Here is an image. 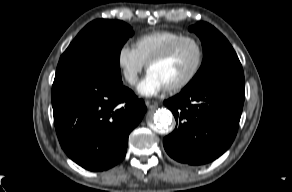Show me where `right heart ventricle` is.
Instances as JSON below:
<instances>
[{"mask_svg": "<svg viewBox=\"0 0 292 192\" xmlns=\"http://www.w3.org/2000/svg\"><path fill=\"white\" fill-rule=\"evenodd\" d=\"M184 36L174 30H155L139 36L135 41V49L145 64L155 55L162 52L173 41Z\"/></svg>", "mask_w": 292, "mask_h": 192, "instance_id": "right-heart-ventricle-1", "label": "right heart ventricle"}]
</instances>
